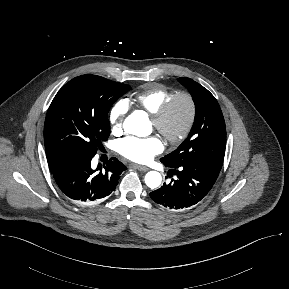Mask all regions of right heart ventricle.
Segmentation results:
<instances>
[{
	"instance_id": "e07e8e85",
	"label": "right heart ventricle",
	"mask_w": 289,
	"mask_h": 289,
	"mask_svg": "<svg viewBox=\"0 0 289 289\" xmlns=\"http://www.w3.org/2000/svg\"><path fill=\"white\" fill-rule=\"evenodd\" d=\"M176 91L162 84H152L135 95V102L150 114L155 113L161 105Z\"/></svg>"
}]
</instances>
